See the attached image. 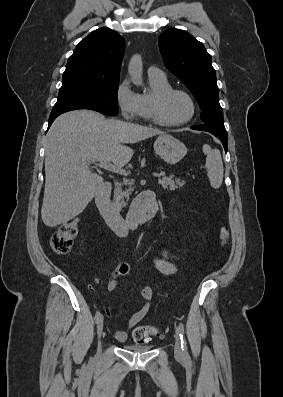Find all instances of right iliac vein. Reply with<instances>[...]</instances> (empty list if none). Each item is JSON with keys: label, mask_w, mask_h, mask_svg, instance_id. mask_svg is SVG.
<instances>
[{"label": "right iliac vein", "mask_w": 283, "mask_h": 397, "mask_svg": "<svg viewBox=\"0 0 283 397\" xmlns=\"http://www.w3.org/2000/svg\"><path fill=\"white\" fill-rule=\"evenodd\" d=\"M102 330H103V317L101 316L100 320L97 323V333H98V337H99V341H98V349H100V337L102 334Z\"/></svg>", "instance_id": "1"}]
</instances>
